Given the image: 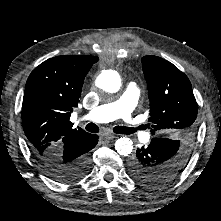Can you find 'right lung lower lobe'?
<instances>
[{
	"label": "right lung lower lobe",
	"instance_id": "1",
	"mask_svg": "<svg viewBox=\"0 0 221 221\" xmlns=\"http://www.w3.org/2000/svg\"><path fill=\"white\" fill-rule=\"evenodd\" d=\"M98 142V136L89 134L81 143L67 141L62 146L54 147L42 155H35L40 166L55 180L74 182L89 171L90 150Z\"/></svg>",
	"mask_w": 221,
	"mask_h": 221
}]
</instances>
